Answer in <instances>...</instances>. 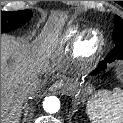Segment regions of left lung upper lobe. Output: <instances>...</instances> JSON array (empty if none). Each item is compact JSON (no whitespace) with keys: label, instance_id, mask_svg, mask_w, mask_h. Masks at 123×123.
Here are the masks:
<instances>
[{"label":"left lung upper lobe","instance_id":"obj_1","mask_svg":"<svg viewBox=\"0 0 123 123\" xmlns=\"http://www.w3.org/2000/svg\"><path fill=\"white\" fill-rule=\"evenodd\" d=\"M113 40L115 47L107 55L106 60L123 59V20L119 16H115Z\"/></svg>","mask_w":123,"mask_h":123}]
</instances>
